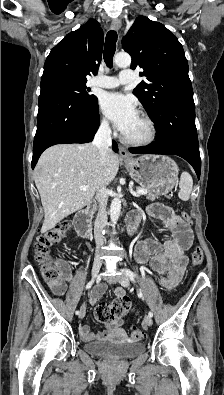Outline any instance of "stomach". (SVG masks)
<instances>
[{"instance_id": "1", "label": "stomach", "mask_w": 224, "mask_h": 395, "mask_svg": "<svg viewBox=\"0 0 224 395\" xmlns=\"http://www.w3.org/2000/svg\"><path fill=\"white\" fill-rule=\"evenodd\" d=\"M125 167L132 179L157 195H166L178 181L179 168L174 160L166 156L132 158L125 161Z\"/></svg>"}]
</instances>
